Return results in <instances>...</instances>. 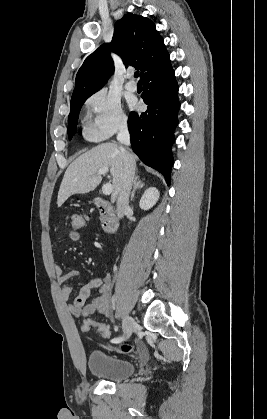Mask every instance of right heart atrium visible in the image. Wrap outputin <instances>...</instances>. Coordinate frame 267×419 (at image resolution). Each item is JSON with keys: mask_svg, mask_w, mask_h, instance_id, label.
I'll list each match as a JSON object with an SVG mask.
<instances>
[{"mask_svg": "<svg viewBox=\"0 0 267 419\" xmlns=\"http://www.w3.org/2000/svg\"><path fill=\"white\" fill-rule=\"evenodd\" d=\"M86 107L92 115L87 127V136L92 140H105L127 125V116L119 99L106 90L92 94Z\"/></svg>", "mask_w": 267, "mask_h": 419, "instance_id": "obj_1", "label": "right heart atrium"}]
</instances>
